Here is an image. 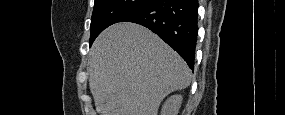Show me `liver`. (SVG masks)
Returning <instances> with one entry per match:
<instances>
[{
    "instance_id": "1",
    "label": "liver",
    "mask_w": 285,
    "mask_h": 115,
    "mask_svg": "<svg viewBox=\"0 0 285 115\" xmlns=\"http://www.w3.org/2000/svg\"><path fill=\"white\" fill-rule=\"evenodd\" d=\"M87 71L100 115H157L168 94L191 83L185 61L134 23L113 24L98 36Z\"/></svg>"
}]
</instances>
